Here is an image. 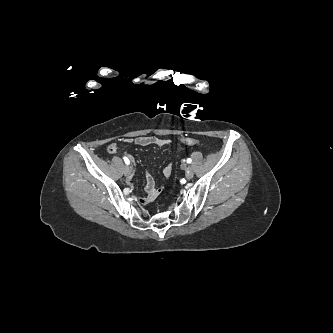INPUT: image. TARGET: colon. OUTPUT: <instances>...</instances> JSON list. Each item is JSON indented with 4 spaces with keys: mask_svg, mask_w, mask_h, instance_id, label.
I'll return each mask as SVG.
<instances>
[{
    "mask_svg": "<svg viewBox=\"0 0 333 333\" xmlns=\"http://www.w3.org/2000/svg\"><path fill=\"white\" fill-rule=\"evenodd\" d=\"M182 142L186 145H199L201 144V141L195 138L185 137L182 139Z\"/></svg>",
    "mask_w": 333,
    "mask_h": 333,
    "instance_id": "obj_1",
    "label": "colon"
}]
</instances>
